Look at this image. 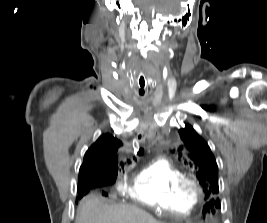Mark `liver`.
Masks as SVG:
<instances>
[{
	"label": "liver",
	"instance_id": "1",
	"mask_svg": "<svg viewBox=\"0 0 267 223\" xmlns=\"http://www.w3.org/2000/svg\"><path fill=\"white\" fill-rule=\"evenodd\" d=\"M75 223H162L132 205H108L98 196H87L79 204Z\"/></svg>",
	"mask_w": 267,
	"mask_h": 223
}]
</instances>
